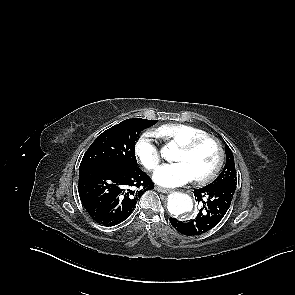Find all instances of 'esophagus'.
I'll use <instances>...</instances> for the list:
<instances>
[{
  "label": "esophagus",
  "instance_id": "1",
  "mask_svg": "<svg viewBox=\"0 0 295 295\" xmlns=\"http://www.w3.org/2000/svg\"><path fill=\"white\" fill-rule=\"evenodd\" d=\"M156 190L161 193H168L169 192V189L159 187V186L156 187Z\"/></svg>",
  "mask_w": 295,
  "mask_h": 295
}]
</instances>
